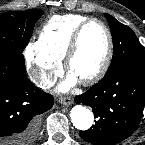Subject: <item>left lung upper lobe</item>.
<instances>
[{"label": "left lung upper lobe", "instance_id": "5c2ea615", "mask_svg": "<svg viewBox=\"0 0 145 145\" xmlns=\"http://www.w3.org/2000/svg\"><path fill=\"white\" fill-rule=\"evenodd\" d=\"M113 38V57L106 75L125 68L145 71V53L134 32L109 14H105Z\"/></svg>", "mask_w": 145, "mask_h": 145}]
</instances>
